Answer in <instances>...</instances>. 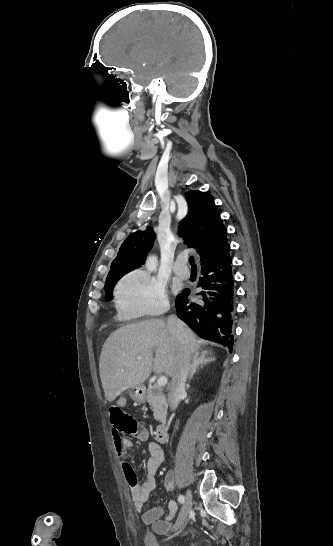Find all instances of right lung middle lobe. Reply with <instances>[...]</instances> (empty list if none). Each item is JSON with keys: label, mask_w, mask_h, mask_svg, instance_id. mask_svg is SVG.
Segmentation results:
<instances>
[{"label": "right lung middle lobe", "mask_w": 333, "mask_h": 546, "mask_svg": "<svg viewBox=\"0 0 333 546\" xmlns=\"http://www.w3.org/2000/svg\"><path fill=\"white\" fill-rule=\"evenodd\" d=\"M130 272V270L125 271H116L111 274H108L105 288H106V298L110 299L112 297V291L115 286V284L118 282V280L125 275L126 273Z\"/></svg>", "instance_id": "obj_1"}]
</instances>
